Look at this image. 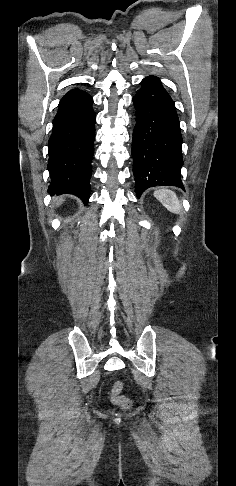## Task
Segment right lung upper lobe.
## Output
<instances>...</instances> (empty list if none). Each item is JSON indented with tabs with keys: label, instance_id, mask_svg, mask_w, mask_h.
<instances>
[{
	"label": "right lung upper lobe",
	"instance_id": "1",
	"mask_svg": "<svg viewBox=\"0 0 236 486\" xmlns=\"http://www.w3.org/2000/svg\"><path fill=\"white\" fill-rule=\"evenodd\" d=\"M85 93H86L85 91H82V90H79V89L70 90L63 96L61 101L71 99V98H76V97H79V96H81Z\"/></svg>",
	"mask_w": 236,
	"mask_h": 486
}]
</instances>
